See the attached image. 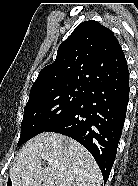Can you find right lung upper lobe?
<instances>
[{
    "label": "right lung upper lobe",
    "mask_w": 138,
    "mask_h": 186,
    "mask_svg": "<svg viewBox=\"0 0 138 186\" xmlns=\"http://www.w3.org/2000/svg\"><path fill=\"white\" fill-rule=\"evenodd\" d=\"M128 79L127 62L114 33L90 20L61 43L54 63L40 71L30 94L69 85H119Z\"/></svg>",
    "instance_id": "1"
}]
</instances>
